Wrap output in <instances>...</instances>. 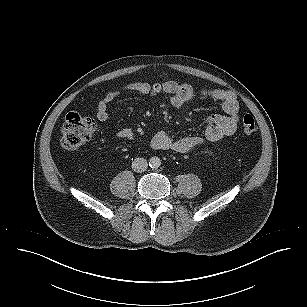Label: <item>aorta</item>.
Returning <instances> with one entry per match:
<instances>
[{"label":"aorta","mask_w":307,"mask_h":307,"mask_svg":"<svg viewBox=\"0 0 307 307\" xmlns=\"http://www.w3.org/2000/svg\"><path fill=\"white\" fill-rule=\"evenodd\" d=\"M160 165H161V160H160L159 157L154 156V157L150 158L149 166L151 168H158V167H160Z\"/></svg>","instance_id":"762f6f07"}]
</instances>
